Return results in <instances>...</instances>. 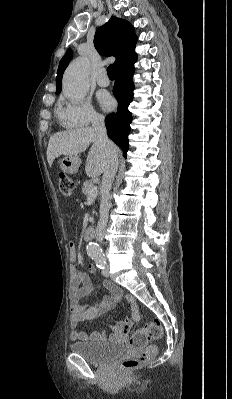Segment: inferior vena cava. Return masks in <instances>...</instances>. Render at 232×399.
Returning <instances> with one entry per match:
<instances>
[{
	"instance_id": "602c4592",
	"label": "inferior vena cava",
	"mask_w": 232,
	"mask_h": 399,
	"mask_svg": "<svg viewBox=\"0 0 232 399\" xmlns=\"http://www.w3.org/2000/svg\"><path fill=\"white\" fill-rule=\"evenodd\" d=\"M91 124L98 138V142L107 148V166L105 168L101 184V203L99 209L100 217L96 227V237L98 241H103V233L107 225L108 213L110 209V190L118 170V156L115 154L112 148V142L108 140L104 116L93 114V116H91Z\"/></svg>"
}]
</instances>
